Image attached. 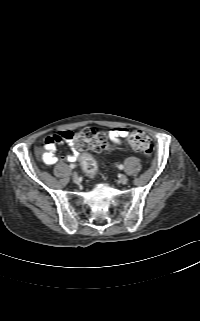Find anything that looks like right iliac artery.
Listing matches in <instances>:
<instances>
[{
  "mask_svg": "<svg viewBox=\"0 0 200 321\" xmlns=\"http://www.w3.org/2000/svg\"><path fill=\"white\" fill-rule=\"evenodd\" d=\"M71 169H74L75 168V165L74 164H70L69 166Z\"/></svg>",
  "mask_w": 200,
  "mask_h": 321,
  "instance_id": "obj_1",
  "label": "right iliac artery"
}]
</instances>
